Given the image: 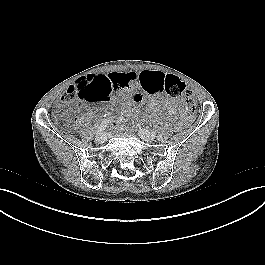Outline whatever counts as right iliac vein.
<instances>
[{"label": "right iliac vein", "mask_w": 265, "mask_h": 265, "mask_svg": "<svg viewBox=\"0 0 265 265\" xmlns=\"http://www.w3.org/2000/svg\"><path fill=\"white\" fill-rule=\"evenodd\" d=\"M107 140V136L105 133H100L96 136V141L98 143H104Z\"/></svg>", "instance_id": "obj_1"}]
</instances>
